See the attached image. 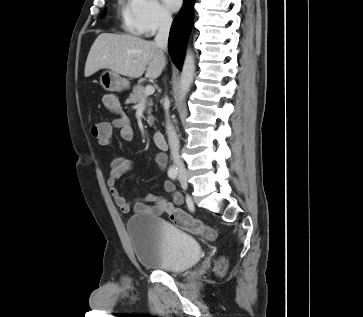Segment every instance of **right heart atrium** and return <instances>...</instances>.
I'll return each instance as SVG.
<instances>
[{"instance_id": "obj_1", "label": "right heart atrium", "mask_w": 363, "mask_h": 317, "mask_svg": "<svg viewBox=\"0 0 363 317\" xmlns=\"http://www.w3.org/2000/svg\"><path fill=\"white\" fill-rule=\"evenodd\" d=\"M131 14L134 32L146 37L167 28L172 21L158 0H131Z\"/></svg>"}]
</instances>
